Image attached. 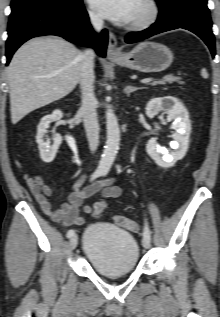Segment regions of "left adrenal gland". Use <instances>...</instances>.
I'll use <instances>...</instances> for the list:
<instances>
[{
	"instance_id": "1",
	"label": "left adrenal gland",
	"mask_w": 220,
	"mask_h": 317,
	"mask_svg": "<svg viewBox=\"0 0 220 317\" xmlns=\"http://www.w3.org/2000/svg\"><path fill=\"white\" fill-rule=\"evenodd\" d=\"M138 89H140V88L133 87V86H131V85H127V86L124 88V93H126V95L129 96L130 93H132V92H134V91H136V90H138Z\"/></svg>"
}]
</instances>
